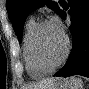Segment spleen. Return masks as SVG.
Segmentation results:
<instances>
[{"label": "spleen", "mask_w": 89, "mask_h": 89, "mask_svg": "<svg viewBox=\"0 0 89 89\" xmlns=\"http://www.w3.org/2000/svg\"><path fill=\"white\" fill-rule=\"evenodd\" d=\"M69 83L75 88V89H83V81L80 78L72 77L69 79Z\"/></svg>", "instance_id": "obj_1"}]
</instances>
